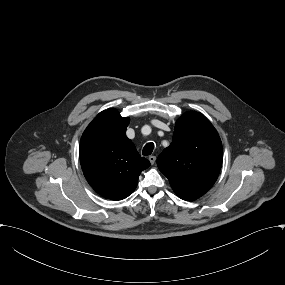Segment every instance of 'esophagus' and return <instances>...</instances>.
Segmentation results:
<instances>
[{
	"label": "esophagus",
	"instance_id": "1",
	"mask_svg": "<svg viewBox=\"0 0 285 285\" xmlns=\"http://www.w3.org/2000/svg\"><path fill=\"white\" fill-rule=\"evenodd\" d=\"M148 159H149L151 165H153L156 161V156H150Z\"/></svg>",
	"mask_w": 285,
	"mask_h": 285
}]
</instances>
